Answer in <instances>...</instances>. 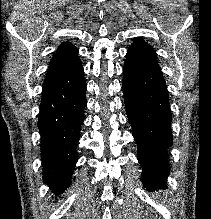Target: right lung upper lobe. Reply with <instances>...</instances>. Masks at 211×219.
I'll list each match as a JSON object with an SVG mask.
<instances>
[{
	"label": "right lung upper lobe",
	"mask_w": 211,
	"mask_h": 219,
	"mask_svg": "<svg viewBox=\"0 0 211 219\" xmlns=\"http://www.w3.org/2000/svg\"><path fill=\"white\" fill-rule=\"evenodd\" d=\"M77 59H79L77 48L70 42L63 43L52 57L46 79Z\"/></svg>",
	"instance_id": "right-lung-upper-lobe-1"
}]
</instances>
